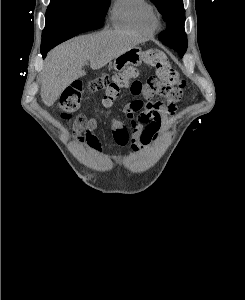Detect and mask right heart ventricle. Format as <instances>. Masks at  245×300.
Returning <instances> with one entry per match:
<instances>
[{
	"label": "right heart ventricle",
	"mask_w": 245,
	"mask_h": 300,
	"mask_svg": "<svg viewBox=\"0 0 245 300\" xmlns=\"http://www.w3.org/2000/svg\"><path fill=\"white\" fill-rule=\"evenodd\" d=\"M110 21L117 30L143 35L154 33L158 24L154 8L147 0H115Z\"/></svg>",
	"instance_id": "e07e8e85"
}]
</instances>
